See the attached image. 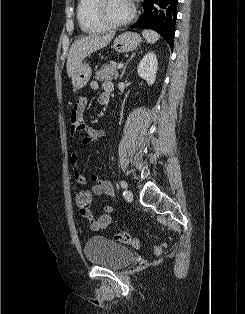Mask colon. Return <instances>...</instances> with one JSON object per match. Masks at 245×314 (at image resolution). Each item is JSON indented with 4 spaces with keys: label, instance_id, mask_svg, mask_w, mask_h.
<instances>
[{
    "label": "colon",
    "instance_id": "1",
    "mask_svg": "<svg viewBox=\"0 0 245 314\" xmlns=\"http://www.w3.org/2000/svg\"><path fill=\"white\" fill-rule=\"evenodd\" d=\"M91 192L89 190H80L75 197L76 205L81 214H85L90 210L91 205ZM114 240L122 243H127L134 248L140 247V241L138 238L132 236L129 232L119 231L114 235ZM164 245L157 244L152 248L154 255H160L162 253Z\"/></svg>",
    "mask_w": 245,
    "mask_h": 314
}]
</instances>
